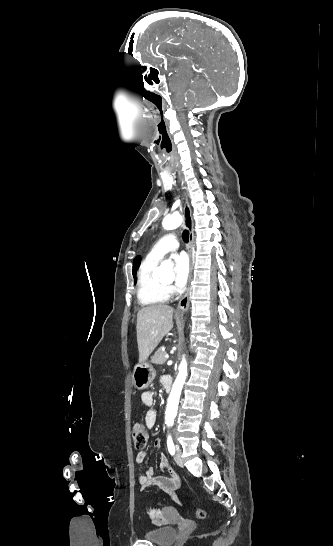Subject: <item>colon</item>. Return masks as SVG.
Listing matches in <instances>:
<instances>
[{
	"instance_id": "1",
	"label": "colon",
	"mask_w": 333,
	"mask_h": 546,
	"mask_svg": "<svg viewBox=\"0 0 333 546\" xmlns=\"http://www.w3.org/2000/svg\"><path fill=\"white\" fill-rule=\"evenodd\" d=\"M132 439L136 449L145 448L148 441V432L143 424L137 423L133 426ZM195 516L198 519H204L206 517V512L203 509H197L195 511Z\"/></svg>"
}]
</instances>
